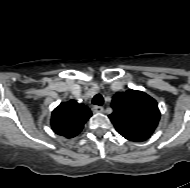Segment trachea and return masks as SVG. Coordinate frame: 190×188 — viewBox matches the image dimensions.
Wrapping results in <instances>:
<instances>
[{
    "mask_svg": "<svg viewBox=\"0 0 190 188\" xmlns=\"http://www.w3.org/2000/svg\"><path fill=\"white\" fill-rule=\"evenodd\" d=\"M103 102H104L103 97L100 94H96L92 100V103L98 106H101Z\"/></svg>",
    "mask_w": 190,
    "mask_h": 188,
    "instance_id": "1",
    "label": "trachea"
}]
</instances>
